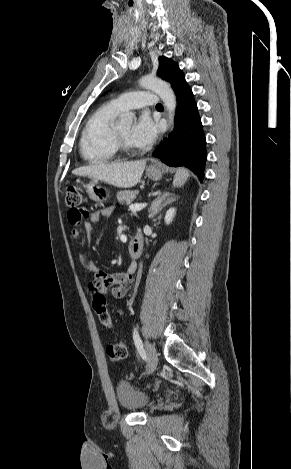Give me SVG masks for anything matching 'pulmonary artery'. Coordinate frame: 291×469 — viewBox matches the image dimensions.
Segmentation results:
<instances>
[{
  "mask_svg": "<svg viewBox=\"0 0 291 469\" xmlns=\"http://www.w3.org/2000/svg\"><path fill=\"white\" fill-rule=\"evenodd\" d=\"M112 105L120 111L154 107L159 103L157 95L148 91H135L122 94L111 101Z\"/></svg>",
  "mask_w": 291,
  "mask_h": 469,
  "instance_id": "1",
  "label": "pulmonary artery"
}]
</instances>
